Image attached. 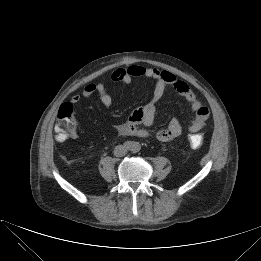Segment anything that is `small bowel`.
<instances>
[{
  "mask_svg": "<svg viewBox=\"0 0 261 261\" xmlns=\"http://www.w3.org/2000/svg\"><path fill=\"white\" fill-rule=\"evenodd\" d=\"M137 77H146L154 80V91L152 97L143 106L135 109L124 123L116 126L119 135L137 137L149 136L150 133L143 127H149L153 124L157 103L163 97L168 87L174 88V90L189 103L191 111L195 115L189 126V131L195 133L205 127L210 116L209 109L202 104L196 94L185 82L176 79L172 73L139 65L117 68L111 73V80L113 82L124 84L131 83V81ZM94 94L98 95L104 106H111L112 97L103 82H91L86 84L83 87L81 95L76 94L71 97V103L77 104L81 100V97L89 98ZM181 133L182 126L179 120L174 117L170 120L168 127L159 130L155 134V137L161 142H171L176 140Z\"/></svg>",
  "mask_w": 261,
  "mask_h": 261,
  "instance_id": "c3829d8e",
  "label": "small bowel"
}]
</instances>
